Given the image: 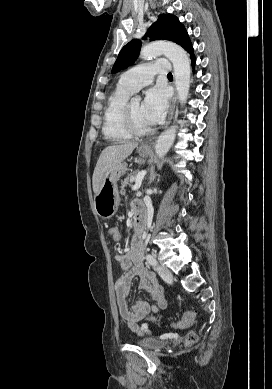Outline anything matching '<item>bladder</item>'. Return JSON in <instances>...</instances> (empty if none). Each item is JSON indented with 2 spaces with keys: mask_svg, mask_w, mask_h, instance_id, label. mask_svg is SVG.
I'll return each mask as SVG.
<instances>
[{
  "mask_svg": "<svg viewBox=\"0 0 272 389\" xmlns=\"http://www.w3.org/2000/svg\"><path fill=\"white\" fill-rule=\"evenodd\" d=\"M136 344L146 350H159L164 346V341L159 338H143L138 340Z\"/></svg>",
  "mask_w": 272,
  "mask_h": 389,
  "instance_id": "31cf9c89",
  "label": "bladder"
}]
</instances>
